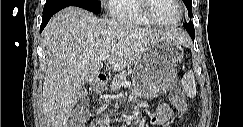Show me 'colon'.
I'll list each match as a JSON object with an SVG mask.
<instances>
[{"mask_svg": "<svg viewBox=\"0 0 243 127\" xmlns=\"http://www.w3.org/2000/svg\"><path fill=\"white\" fill-rule=\"evenodd\" d=\"M172 98L179 99L181 101L184 100L180 87L176 84L173 86L171 90ZM88 110L85 104L78 106L71 117V126L72 127H85V119L87 116Z\"/></svg>", "mask_w": 243, "mask_h": 127, "instance_id": "1", "label": "colon"}]
</instances>
